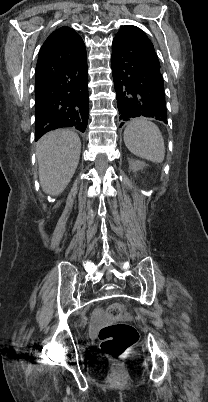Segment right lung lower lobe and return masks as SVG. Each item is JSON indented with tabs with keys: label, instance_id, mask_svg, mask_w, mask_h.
<instances>
[{
	"label": "right lung lower lobe",
	"instance_id": "1",
	"mask_svg": "<svg viewBox=\"0 0 208 402\" xmlns=\"http://www.w3.org/2000/svg\"><path fill=\"white\" fill-rule=\"evenodd\" d=\"M35 81V140L62 127L84 132L89 114L87 53L78 34L40 50Z\"/></svg>",
	"mask_w": 208,
	"mask_h": 402
}]
</instances>
